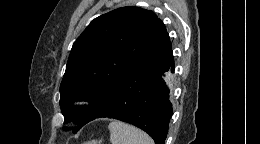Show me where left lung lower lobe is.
<instances>
[{"instance_id":"left-lung-lower-lobe-1","label":"left lung lower lobe","mask_w":260,"mask_h":144,"mask_svg":"<svg viewBox=\"0 0 260 144\" xmlns=\"http://www.w3.org/2000/svg\"><path fill=\"white\" fill-rule=\"evenodd\" d=\"M159 61L171 62L174 72L171 43L132 69L95 119L110 118L132 124L148 133L156 144H164L173 112L170 89L162 79Z\"/></svg>"}]
</instances>
